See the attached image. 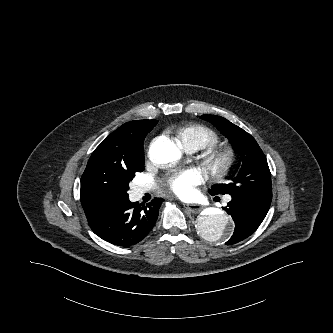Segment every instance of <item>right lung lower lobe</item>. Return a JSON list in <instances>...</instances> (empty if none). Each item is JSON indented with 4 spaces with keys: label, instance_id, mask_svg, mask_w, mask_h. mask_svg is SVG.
<instances>
[{
    "label": "right lung lower lobe",
    "instance_id": "1",
    "mask_svg": "<svg viewBox=\"0 0 333 333\" xmlns=\"http://www.w3.org/2000/svg\"><path fill=\"white\" fill-rule=\"evenodd\" d=\"M163 199L154 198L146 205L129 198L109 202L86 214L92 231L103 240L123 247L137 244L154 227Z\"/></svg>",
    "mask_w": 333,
    "mask_h": 333
}]
</instances>
